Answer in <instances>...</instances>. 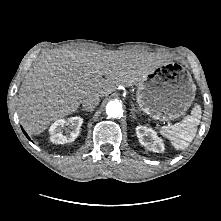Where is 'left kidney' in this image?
<instances>
[{"instance_id":"1","label":"left kidney","mask_w":221,"mask_h":221,"mask_svg":"<svg viewBox=\"0 0 221 221\" xmlns=\"http://www.w3.org/2000/svg\"><path fill=\"white\" fill-rule=\"evenodd\" d=\"M136 135L142 146L146 147L148 150L161 153L164 151V143L157 133L149 127L137 126Z\"/></svg>"}]
</instances>
